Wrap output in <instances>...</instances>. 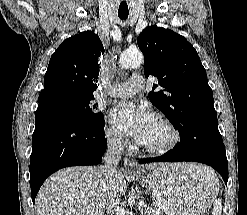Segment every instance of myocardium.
<instances>
[{
  "instance_id": "1",
  "label": "myocardium",
  "mask_w": 247,
  "mask_h": 215,
  "mask_svg": "<svg viewBox=\"0 0 247 215\" xmlns=\"http://www.w3.org/2000/svg\"><path fill=\"white\" fill-rule=\"evenodd\" d=\"M158 122L167 130L169 138L166 143L157 147L140 144L142 151L150 156H162L167 154L172 151L180 141V133L176 126L169 119L160 117L158 118Z\"/></svg>"
}]
</instances>
